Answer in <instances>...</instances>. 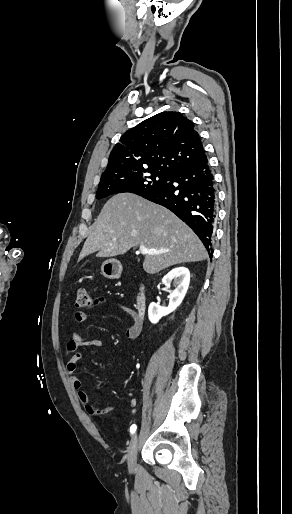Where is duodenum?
<instances>
[{
	"label": "duodenum",
	"instance_id": "1",
	"mask_svg": "<svg viewBox=\"0 0 292 514\" xmlns=\"http://www.w3.org/2000/svg\"><path fill=\"white\" fill-rule=\"evenodd\" d=\"M145 307H146V299H145L144 292L141 291L136 300V314H137V320L139 322H141L143 319V313L145 311Z\"/></svg>",
	"mask_w": 292,
	"mask_h": 514
}]
</instances>
